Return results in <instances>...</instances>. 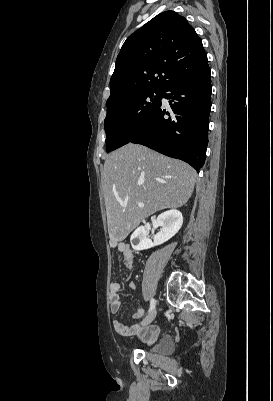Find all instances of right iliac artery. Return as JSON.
Wrapping results in <instances>:
<instances>
[{"mask_svg":"<svg viewBox=\"0 0 273 401\" xmlns=\"http://www.w3.org/2000/svg\"><path fill=\"white\" fill-rule=\"evenodd\" d=\"M155 305H156V301L153 298H151L149 312H151L155 308Z\"/></svg>","mask_w":273,"mask_h":401,"instance_id":"obj_1","label":"right iliac artery"}]
</instances>
